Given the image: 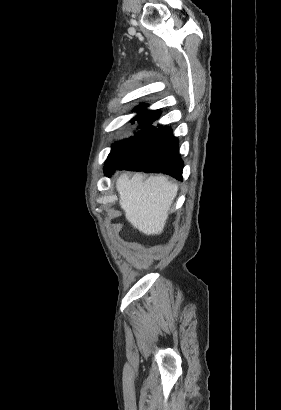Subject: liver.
<instances>
[{
    "label": "liver",
    "mask_w": 281,
    "mask_h": 410,
    "mask_svg": "<svg viewBox=\"0 0 281 410\" xmlns=\"http://www.w3.org/2000/svg\"><path fill=\"white\" fill-rule=\"evenodd\" d=\"M116 189L125 217L134 228L146 235L163 232L178 192L177 184L164 176H151L143 181L140 173L131 179L124 173L118 178Z\"/></svg>",
    "instance_id": "obj_1"
}]
</instances>
